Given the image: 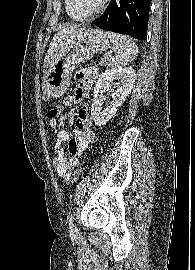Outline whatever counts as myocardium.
<instances>
[{"mask_svg": "<svg viewBox=\"0 0 195 270\" xmlns=\"http://www.w3.org/2000/svg\"><path fill=\"white\" fill-rule=\"evenodd\" d=\"M109 0H101L100 3L91 11L89 12H83L81 11L76 3H75V0H69V4H70V7L71 9L76 13L78 14L79 16H81L82 18L84 19H87V18H90V17H93L95 16L96 14H98L104 7L105 5L107 4Z\"/></svg>", "mask_w": 195, "mask_h": 270, "instance_id": "myocardium-1", "label": "myocardium"}]
</instances>
